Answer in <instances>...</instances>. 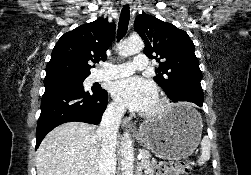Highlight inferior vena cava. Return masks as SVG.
<instances>
[{
  "label": "inferior vena cava",
  "mask_w": 251,
  "mask_h": 175,
  "mask_svg": "<svg viewBox=\"0 0 251 175\" xmlns=\"http://www.w3.org/2000/svg\"><path fill=\"white\" fill-rule=\"evenodd\" d=\"M125 107L111 105L105 109L96 137L101 139V155L98 175H115L117 131L124 115Z\"/></svg>",
  "instance_id": "602c4592"
}]
</instances>
